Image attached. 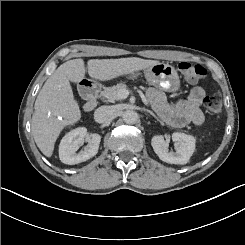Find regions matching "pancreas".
<instances>
[{
	"instance_id": "cf45deb5",
	"label": "pancreas",
	"mask_w": 245,
	"mask_h": 245,
	"mask_svg": "<svg viewBox=\"0 0 245 245\" xmlns=\"http://www.w3.org/2000/svg\"><path fill=\"white\" fill-rule=\"evenodd\" d=\"M127 90V86L124 83H119L112 87H104L101 91L100 96L106 98L109 102L119 100L118 93L120 90Z\"/></svg>"
}]
</instances>
